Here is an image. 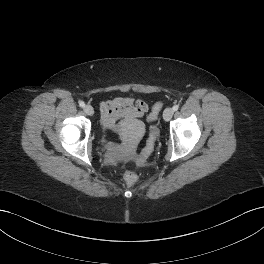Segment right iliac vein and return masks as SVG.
Returning <instances> with one entry per match:
<instances>
[{"instance_id": "right-iliac-vein-1", "label": "right iliac vein", "mask_w": 264, "mask_h": 264, "mask_svg": "<svg viewBox=\"0 0 264 264\" xmlns=\"http://www.w3.org/2000/svg\"><path fill=\"white\" fill-rule=\"evenodd\" d=\"M84 112L87 114V115H93L94 114V109L91 105H86L84 106Z\"/></svg>"}]
</instances>
